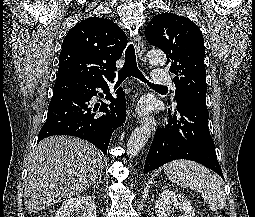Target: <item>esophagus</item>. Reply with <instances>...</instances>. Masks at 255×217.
Here are the masks:
<instances>
[{"label":"esophagus","mask_w":255,"mask_h":217,"mask_svg":"<svg viewBox=\"0 0 255 217\" xmlns=\"http://www.w3.org/2000/svg\"><path fill=\"white\" fill-rule=\"evenodd\" d=\"M134 45H135V48H136V51L138 53L140 60L143 63H146V49H145L144 42H143V39L141 38V36L137 35L134 38ZM140 123H150L154 129L156 127V121L153 117H141Z\"/></svg>","instance_id":"1"}]
</instances>
